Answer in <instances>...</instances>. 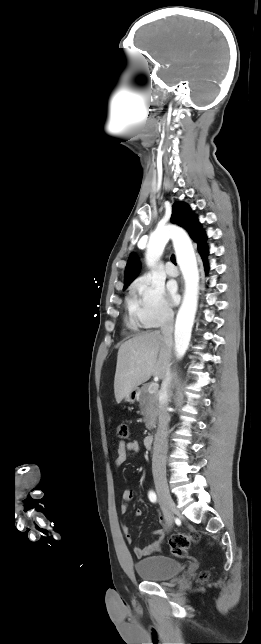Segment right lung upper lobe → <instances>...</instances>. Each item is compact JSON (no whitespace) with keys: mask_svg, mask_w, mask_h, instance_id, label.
Returning a JSON list of instances; mask_svg holds the SVG:
<instances>
[{"mask_svg":"<svg viewBox=\"0 0 261 644\" xmlns=\"http://www.w3.org/2000/svg\"><path fill=\"white\" fill-rule=\"evenodd\" d=\"M171 222L187 230L190 237L198 244V250L201 257L208 254V249L204 243L206 236L201 229V224L198 222L196 216L192 213L187 204L184 202H175L173 204ZM139 270V259L134 253H131L125 269L124 287L129 286V284L138 275Z\"/></svg>","mask_w":261,"mask_h":644,"instance_id":"obj_1","label":"right lung upper lobe"}]
</instances>
